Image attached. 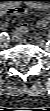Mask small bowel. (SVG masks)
<instances>
[{
  "instance_id": "c3829d8e",
  "label": "small bowel",
  "mask_w": 50,
  "mask_h": 111,
  "mask_svg": "<svg viewBox=\"0 0 50 111\" xmlns=\"http://www.w3.org/2000/svg\"><path fill=\"white\" fill-rule=\"evenodd\" d=\"M0 12L3 14L12 13L15 15H23V14L27 13V10L25 8H21V7H13V8L4 7L0 10ZM49 20H50L49 17L42 19L38 23V27L44 28L46 25H48ZM27 30H28V28L26 25H22L21 27L17 28L13 33L14 38L16 40H19L27 32Z\"/></svg>"
}]
</instances>
